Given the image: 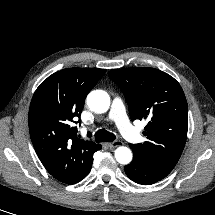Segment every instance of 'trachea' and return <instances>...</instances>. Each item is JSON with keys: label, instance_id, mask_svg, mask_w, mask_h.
I'll return each instance as SVG.
<instances>
[{"label": "trachea", "instance_id": "1", "mask_svg": "<svg viewBox=\"0 0 215 215\" xmlns=\"http://www.w3.org/2000/svg\"><path fill=\"white\" fill-rule=\"evenodd\" d=\"M115 138L116 136L113 133L108 132L105 129L98 130L94 135L96 142H113Z\"/></svg>", "mask_w": 215, "mask_h": 215}]
</instances>
